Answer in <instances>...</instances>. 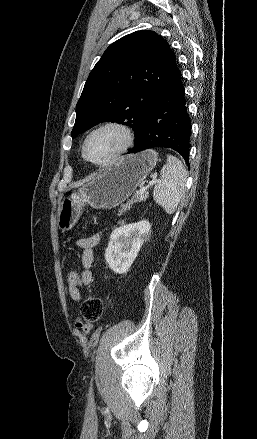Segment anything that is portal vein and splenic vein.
<instances>
[{"label":"portal vein and splenic vein","instance_id":"1","mask_svg":"<svg viewBox=\"0 0 257 439\" xmlns=\"http://www.w3.org/2000/svg\"><path fill=\"white\" fill-rule=\"evenodd\" d=\"M157 182H158L157 178H156V177H153V179L149 182V184H148L147 186L142 187V188L137 192V194H144V193L147 191V189H148L149 187L153 186V185L156 184Z\"/></svg>","mask_w":257,"mask_h":439}]
</instances>
